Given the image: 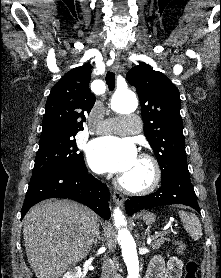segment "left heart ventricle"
Here are the masks:
<instances>
[{"label":"left heart ventricle","mask_w":221,"mask_h":278,"mask_svg":"<svg viewBox=\"0 0 221 278\" xmlns=\"http://www.w3.org/2000/svg\"><path fill=\"white\" fill-rule=\"evenodd\" d=\"M120 177L128 186L144 187L152 179V168L147 161L137 157L133 165Z\"/></svg>","instance_id":"left-heart-ventricle-1"}]
</instances>
